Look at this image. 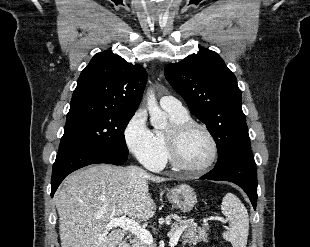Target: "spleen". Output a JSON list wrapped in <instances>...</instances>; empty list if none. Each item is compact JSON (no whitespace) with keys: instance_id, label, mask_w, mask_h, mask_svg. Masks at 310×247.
<instances>
[{"instance_id":"3e777b00","label":"spleen","mask_w":310,"mask_h":247,"mask_svg":"<svg viewBox=\"0 0 310 247\" xmlns=\"http://www.w3.org/2000/svg\"><path fill=\"white\" fill-rule=\"evenodd\" d=\"M221 210L229 220V228L223 233V238L233 247H246L249 216L244 204L236 195L227 193L222 200Z\"/></svg>"}]
</instances>
